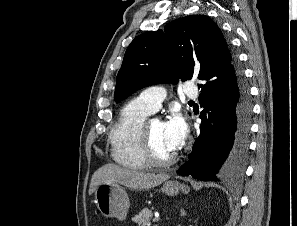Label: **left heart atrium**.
Returning <instances> with one entry per match:
<instances>
[{"label":"left heart atrium","instance_id":"obj_1","mask_svg":"<svg viewBox=\"0 0 297 226\" xmlns=\"http://www.w3.org/2000/svg\"><path fill=\"white\" fill-rule=\"evenodd\" d=\"M164 125V138L167 146L172 151L182 147L186 139V126L179 115H172Z\"/></svg>","mask_w":297,"mask_h":226}]
</instances>
